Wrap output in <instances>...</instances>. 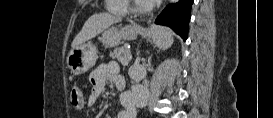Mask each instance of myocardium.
Segmentation results:
<instances>
[{
	"label": "myocardium",
	"instance_id": "f54148a6",
	"mask_svg": "<svg viewBox=\"0 0 273 118\" xmlns=\"http://www.w3.org/2000/svg\"><path fill=\"white\" fill-rule=\"evenodd\" d=\"M152 7L151 5L138 6L137 1L129 0V12L136 15H145L150 13Z\"/></svg>",
	"mask_w": 273,
	"mask_h": 118
}]
</instances>
